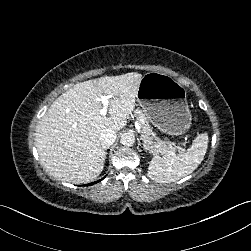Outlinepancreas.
Here are the masks:
<instances>
[{"label": "pancreas", "instance_id": "obj_1", "mask_svg": "<svg viewBox=\"0 0 251 251\" xmlns=\"http://www.w3.org/2000/svg\"><path fill=\"white\" fill-rule=\"evenodd\" d=\"M134 116L136 117L141 128V139L151 152L154 154H167L170 150H172V148L167 145L166 142L155 136L147 116L140 109H136L134 111Z\"/></svg>", "mask_w": 251, "mask_h": 251}]
</instances>
